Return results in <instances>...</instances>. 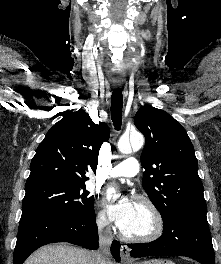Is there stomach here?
Instances as JSON below:
<instances>
[{"label": "stomach", "instance_id": "1", "mask_svg": "<svg viewBox=\"0 0 221 264\" xmlns=\"http://www.w3.org/2000/svg\"><path fill=\"white\" fill-rule=\"evenodd\" d=\"M137 264H175L174 262L170 260H164V259H153V260H148L144 262H140Z\"/></svg>", "mask_w": 221, "mask_h": 264}]
</instances>
